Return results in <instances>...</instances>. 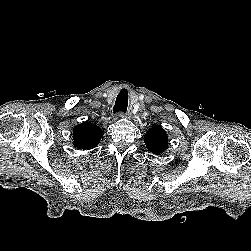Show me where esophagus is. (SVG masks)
I'll return each mask as SVG.
<instances>
[{"mask_svg": "<svg viewBox=\"0 0 251 251\" xmlns=\"http://www.w3.org/2000/svg\"><path fill=\"white\" fill-rule=\"evenodd\" d=\"M131 115H132V108L130 107V108H128V110H127L125 116H126L127 118H130Z\"/></svg>", "mask_w": 251, "mask_h": 251, "instance_id": "34e87169", "label": "esophagus"}]
</instances>
